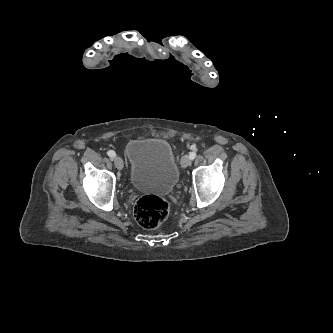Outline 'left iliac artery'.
Listing matches in <instances>:
<instances>
[{
    "label": "left iliac artery",
    "mask_w": 333,
    "mask_h": 333,
    "mask_svg": "<svg viewBox=\"0 0 333 333\" xmlns=\"http://www.w3.org/2000/svg\"><path fill=\"white\" fill-rule=\"evenodd\" d=\"M189 157L193 160L196 157V152H190Z\"/></svg>",
    "instance_id": "left-iliac-artery-1"
}]
</instances>
